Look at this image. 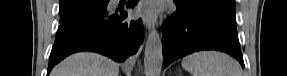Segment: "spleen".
Wrapping results in <instances>:
<instances>
[{
    "instance_id": "obj_1",
    "label": "spleen",
    "mask_w": 287,
    "mask_h": 76,
    "mask_svg": "<svg viewBox=\"0 0 287 76\" xmlns=\"http://www.w3.org/2000/svg\"><path fill=\"white\" fill-rule=\"evenodd\" d=\"M182 67L192 76H241L236 61L217 51L196 52L185 57Z\"/></svg>"
}]
</instances>
